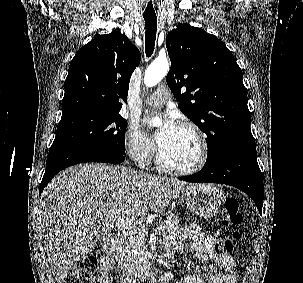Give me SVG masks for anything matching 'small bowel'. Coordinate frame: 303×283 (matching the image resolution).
Here are the masks:
<instances>
[{"label": "small bowel", "instance_id": "c3829d8e", "mask_svg": "<svg viewBox=\"0 0 303 283\" xmlns=\"http://www.w3.org/2000/svg\"><path fill=\"white\" fill-rule=\"evenodd\" d=\"M199 261L200 272L190 275L176 283H236L238 271L236 263L228 253L218 250L220 239L205 235L200 228L192 223H186L181 230L170 236L164 242V252L171 255L182 250L186 242ZM114 262L110 257L103 256L99 264V283H112L109 272L113 269ZM172 273H166L161 283H173Z\"/></svg>", "mask_w": 303, "mask_h": 283}]
</instances>
